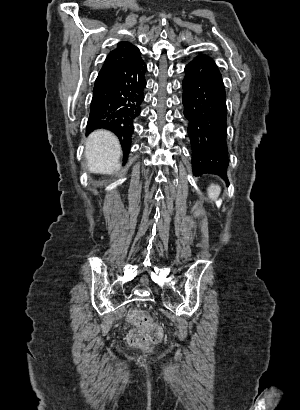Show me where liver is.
Here are the masks:
<instances>
[{"instance_id":"obj_1","label":"liver","mask_w":300,"mask_h":410,"mask_svg":"<svg viewBox=\"0 0 300 410\" xmlns=\"http://www.w3.org/2000/svg\"><path fill=\"white\" fill-rule=\"evenodd\" d=\"M87 167L91 173L112 174L120 169L122 150L117 137L106 130H96L85 143Z\"/></svg>"}]
</instances>
